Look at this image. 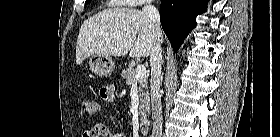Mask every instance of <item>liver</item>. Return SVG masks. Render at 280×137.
I'll return each instance as SVG.
<instances>
[{
  "mask_svg": "<svg viewBox=\"0 0 280 137\" xmlns=\"http://www.w3.org/2000/svg\"><path fill=\"white\" fill-rule=\"evenodd\" d=\"M154 40L151 23L143 11L132 8L106 9L81 25L76 63L82 64L90 55L122 57L129 53L130 57H147Z\"/></svg>",
  "mask_w": 280,
  "mask_h": 137,
  "instance_id": "6515ba94",
  "label": "liver"
}]
</instances>
